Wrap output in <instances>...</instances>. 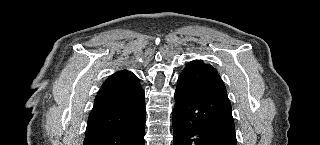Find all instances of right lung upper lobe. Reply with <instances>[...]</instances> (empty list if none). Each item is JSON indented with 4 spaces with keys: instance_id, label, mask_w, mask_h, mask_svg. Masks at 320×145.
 I'll list each match as a JSON object with an SVG mask.
<instances>
[{
    "instance_id": "right-lung-upper-lobe-1",
    "label": "right lung upper lobe",
    "mask_w": 320,
    "mask_h": 145,
    "mask_svg": "<svg viewBox=\"0 0 320 145\" xmlns=\"http://www.w3.org/2000/svg\"><path fill=\"white\" fill-rule=\"evenodd\" d=\"M130 76H135L132 72H129L127 70H123V71H119V72H116L114 74H112L103 84V86L101 87V89L99 90L96 98H95V101H94V107L97 106L98 102L103 100L104 97L103 95H105L104 91H102V89L109 83H112L114 81H117V80H120V79H123V78H126V77H130Z\"/></svg>"
}]
</instances>
